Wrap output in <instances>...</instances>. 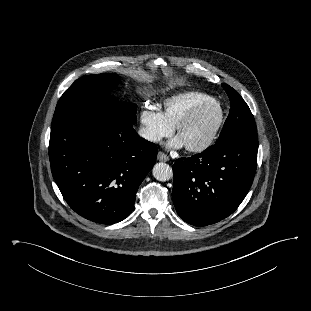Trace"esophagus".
Returning a JSON list of instances; mask_svg holds the SVG:
<instances>
[{"instance_id": "1", "label": "esophagus", "mask_w": 311, "mask_h": 311, "mask_svg": "<svg viewBox=\"0 0 311 311\" xmlns=\"http://www.w3.org/2000/svg\"><path fill=\"white\" fill-rule=\"evenodd\" d=\"M157 159L164 162L169 161V157L161 151L158 153Z\"/></svg>"}]
</instances>
